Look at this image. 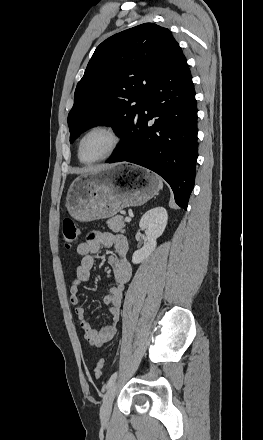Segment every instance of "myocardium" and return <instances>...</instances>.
<instances>
[{
	"label": "myocardium",
	"mask_w": 263,
	"mask_h": 440,
	"mask_svg": "<svg viewBox=\"0 0 263 440\" xmlns=\"http://www.w3.org/2000/svg\"><path fill=\"white\" fill-rule=\"evenodd\" d=\"M105 131L107 132L111 139H112V144L109 148V150L107 151L106 154H104L103 156L94 159V160H84L81 157V145L83 140L92 132L94 131ZM122 142V136L120 134V132L118 131V129L109 123H96L91 125L90 127H88L79 137L78 141H77V157L79 159L80 162H82L83 164H95V163H99L102 162L108 158H110L120 147V144Z\"/></svg>",
	"instance_id": "f54148a6"
}]
</instances>
